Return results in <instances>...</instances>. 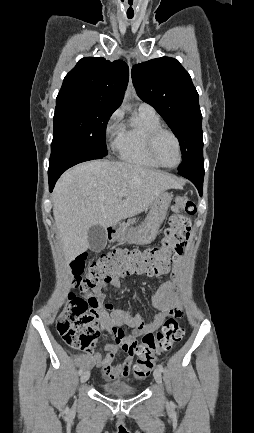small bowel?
<instances>
[{"label":"small bowel","instance_id":"c3829d8e","mask_svg":"<svg viewBox=\"0 0 254 433\" xmlns=\"http://www.w3.org/2000/svg\"><path fill=\"white\" fill-rule=\"evenodd\" d=\"M179 256L169 262L166 268L156 274H147L154 276L157 274H166L170 271V266L178 262ZM113 288L120 287V277L114 278L110 283ZM178 283L176 279L160 284L158 293L152 297V305L158 310L154 319L146 322L140 314H132L130 310H114L110 304L104 303V294L101 289L93 292L100 301L99 307V322L101 330L110 334L114 343L105 344L103 349L105 353L93 352L91 354H83L78 357V365L85 370L97 366L101 369L102 375L106 380H116L128 377L131 370L132 361L135 355L134 348L138 345L137 337L145 335L149 332H154L164 321L171 315L180 311V303L174 301V295L177 291ZM84 297H88L90 293H83ZM132 328L131 332H126L122 326ZM122 350L125 353V358L122 362L113 365L115 354Z\"/></svg>","mask_w":254,"mask_h":433}]
</instances>
